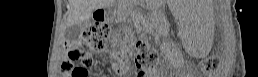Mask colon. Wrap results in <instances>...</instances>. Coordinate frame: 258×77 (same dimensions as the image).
Segmentation results:
<instances>
[{"label":"colon","instance_id":"5ec220e1","mask_svg":"<svg viewBox=\"0 0 258 77\" xmlns=\"http://www.w3.org/2000/svg\"><path fill=\"white\" fill-rule=\"evenodd\" d=\"M110 35V30L104 22H96L86 27L81 35L82 45L93 51L104 48L106 40ZM136 65L139 70L151 71L156 68L157 54L154 49L146 43L136 44ZM219 62L215 57H209L202 63L206 73L215 71ZM91 66L90 60L87 61L85 53L77 48H70L66 51V57L62 63V72L67 77H87L88 68Z\"/></svg>","mask_w":258,"mask_h":77}]
</instances>
